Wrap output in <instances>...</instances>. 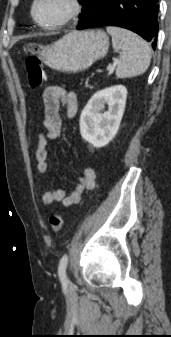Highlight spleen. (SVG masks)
<instances>
[{"label":"spleen","mask_w":171,"mask_h":337,"mask_svg":"<svg viewBox=\"0 0 171 337\" xmlns=\"http://www.w3.org/2000/svg\"><path fill=\"white\" fill-rule=\"evenodd\" d=\"M106 30L112 37L114 51L120 53L117 78L136 77L145 73L151 61L148 43L137 34L120 27L108 26Z\"/></svg>","instance_id":"3e777b00"}]
</instances>
